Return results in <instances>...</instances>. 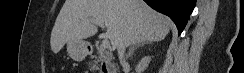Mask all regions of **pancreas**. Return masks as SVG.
<instances>
[{
  "instance_id": "cf45deb5",
  "label": "pancreas",
  "mask_w": 244,
  "mask_h": 73,
  "mask_svg": "<svg viewBox=\"0 0 244 73\" xmlns=\"http://www.w3.org/2000/svg\"><path fill=\"white\" fill-rule=\"evenodd\" d=\"M95 58H98L100 61H102L104 59L103 51L100 50L98 52V57H95Z\"/></svg>"
}]
</instances>
